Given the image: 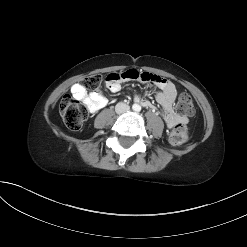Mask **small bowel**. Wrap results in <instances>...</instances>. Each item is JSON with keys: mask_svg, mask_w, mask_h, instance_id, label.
<instances>
[{"mask_svg": "<svg viewBox=\"0 0 247 247\" xmlns=\"http://www.w3.org/2000/svg\"><path fill=\"white\" fill-rule=\"evenodd\" d=\"M107 88L111 92H118L121 89V84L143 83L145 86H154L158 88L156 100L163 108V117L166 125L169 128L176 127L180 123H185L186 119L178 116L173 109V104L177 97V89L175 85L168 79L150 74L149 72H139L137 69L129 71H113L105 75ZM72 97L81 101L91 113H96L106 104V98L100 91L88 93L81 84L76 83L71 87ZM135 100L140 102L145 107H152L150 101L136 97Z\"/></svg>", "mask_w": 247, "mask_h": 247, "instance_id": "small-bowel-1", "label": "small bowel"}]
</instances>
